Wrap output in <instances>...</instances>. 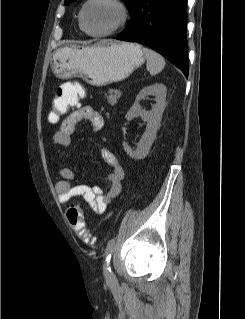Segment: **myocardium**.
Masks as SVG:
<instances>
[{
	"mask_svg": "<svg viewBox=\"0 0 245 319\" xmlns=\"http://www.w3.org/2000/svg\"><path fill=\"white\" fill-rule=\"evenodd\" d=\"M94 3H107L117 8L120 15L117 23L105 31H101V32L88 31L84 23L85 13L87 11V8ZM129 16H130L129 8L126 5V3L122 0H86V2L83 4L80 11L79 22H80L81 29L87 35L92 37H107L119 31L127 23Z\"/></svg>",
	"mask_w": 245,
	"mask_h": 319,
	"instance_id": "1",
	"label": "myocardium"
}]
</instances>
